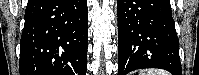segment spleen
Masks as SVG:
<instances>
[{
  "label": "spleen",
  "mask_w": 199,
  "mask_h": 75,
  "mask_svg": "<svg viewBox=\"0 0 199 75\" xmlns=\"http://www.w3.org/2000/svg\"><path fill=\"white\" fill-rule=\"evenodd\" d=\"M139 75H169V73L165 70H142Z\"/></svg>",
  "instance_id": "1"
}]
</instances>
